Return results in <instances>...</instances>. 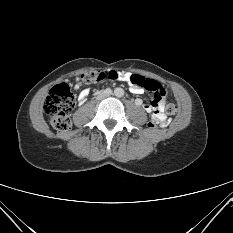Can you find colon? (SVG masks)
Returning a JSON list of instances; mask_svg holds the SVG:
<instances>
[{"label": "colon", "mask_w": 233, "mask_h": 233, "mask_svg": "<svg viewBox=\"0 0 233 233\" xmlns=\"http://www.w3.org/2000/svg\"><path fill=\"white\" fill-rule=\"evenodd\" d=\"M105 71H89L81 76V82L84 85H91L102 81L100 79V74ZM111 79V78H110ZM130 84L134 87L145 89L154 94V104L159 103L161 100L165 99V91L161 85L152 80L145 78L143 76L132 74L130 77ZM75 99L70 88L67 84L61 83L54 86L46 100L44 102V111L50 119L51 126L57 131H66L71 126V121L68 113L74 108ZM176 112V106L173 103L166 104L164 108V113L166 115H173ZM162 121L158 115H154L151 118L148 126L150 128H156L161 126Z\"/></svg>", "instance_id": "colon-1"}]
</instances>
